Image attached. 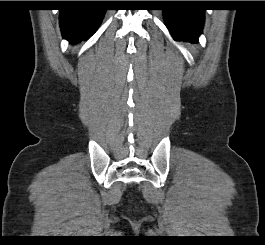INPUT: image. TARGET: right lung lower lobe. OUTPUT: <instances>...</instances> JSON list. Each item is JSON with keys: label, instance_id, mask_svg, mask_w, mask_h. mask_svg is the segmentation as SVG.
I'll return each instance as SVG.
<instances>
[{"label": "right lung lower lobe", "instance_id": "obj_1", "mask_svg": "<svg viewBox=\"0 0 265 245\" xmlns=\"http://www.w3.org/2000/svg\"><path fill=\"white\" fill-rule=\"evenodd\" d=\"M105 10L96 3L85 1L79 8L60 10V27L64 38L77 43L92 35L99 26Z\"/></svg>", "mask_w": 265, "mask_h": 245}]
</instances>
